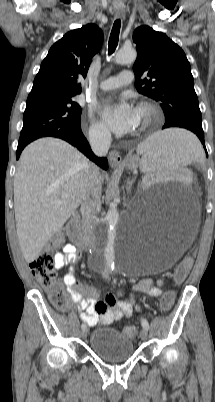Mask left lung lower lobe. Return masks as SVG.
Masks as SVG:
<instances>
[{
  "label": "left lung lower lobe",
  "mask_w": 215,
  "mask_h": 402,
  "mask_svg": "<svg viewBox=\"0 0 215 402\" xmlns=\"http://www.w3.org/2000/svg\"><path fill=\"white\" fill-rule=\"evenodd\" d=\"M170 127H181V128H185V129L192 131L193 133H195L198 136V138L200 139V141L202 142V144L205 148L204 132H203L202 126H198V125L188 123L185 121H181V120H173V121L165 122L162 129L170 128ZM205 150H206V148H205ZM206 153H207V151H206Z\"/></svg>",
  "instance_id": "0a47b994"
}]
</instances>
